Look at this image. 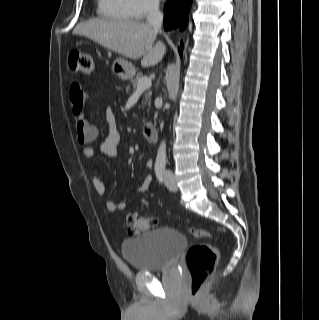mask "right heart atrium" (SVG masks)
Returning <instances> with one entry per match:
<instances>
[{
  "label": "right heart atrium",
  "mask_w": 319,
  "mask_h": 320,
  "mask_svg": "<svg viewBox=\"0 0 319 320\" xmlns=\"http://www.w3.org/2000/svg\"><path fill=\"white\" fill-rule=\"evenodd\" d=\"M133 18H144L159 9V0H126Z\"/></svg>",
  "instance_id": "obj_1"
}]
</instances>
